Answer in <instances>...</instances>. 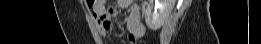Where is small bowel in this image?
Masks as SVG:
<instances>
[{"mask_svg":"<svg viewBox=\"0 0 261 44\" xmlns=\"http://www.w3.org/2000/svg\"><path fill=\"white\" fill-rule=\"evenodd\" d=\"M131 1L119 0L112 8L104 4H97L93 7V16L97 22L100 34L106 35L113 29V23L109 16H117L120 10L128 7ZM145 33V28L141 22L140 8L137 4L132 6L131 12L127 18V39L129 43H135Z\"/></svg>","mask_w":261,"mask_h":44,"instance_id":"obj_1","label":"small bowel"}]
</instances>
